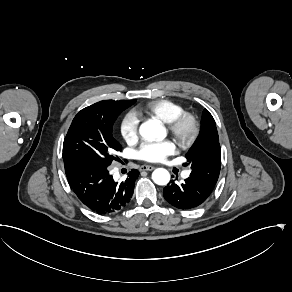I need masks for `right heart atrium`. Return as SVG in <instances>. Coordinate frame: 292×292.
I'll return each mask as SVG.
<instances>
[{"instance_id":"obj_1","label":"right heart atrium","mask_w":292,"mask_h":292,"mask_svg":"<svg viewBox=\"0 0 292 292\" xmlns=\"http://www.w3.org/2000/svg\"><path fill=\"white\" fill-rule=\"evenodd\" d=\"M119 133L123 140L133 145L139 138V117L135 110L126 111L120 118Z\"/></svg>"}]
</instances>
